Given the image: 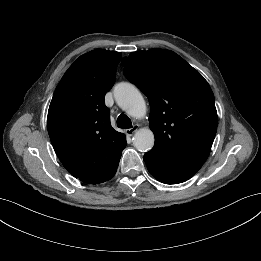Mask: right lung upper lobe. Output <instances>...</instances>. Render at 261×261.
Listing matches in <instances>:
<instances>
[{
  "mask_svg": "<svg viewBox=\"0 0 261 261\" xmlns=\"http://www.w3.org/2000/svg\"><path fill=\"white\" fill-rule=\"evenodd\" d=\"M121 56L103 49L80 56L60 80L49 106L47 126L55 153L85 183L112 178L126 146V136L111 127L104 103Z\"/></svg>",
  "mask_w": 261,
  "mask_h": 261,
  "instance_id": "cb5924a9",
  "label": "right lung upper lobe"
}]
</instances>
